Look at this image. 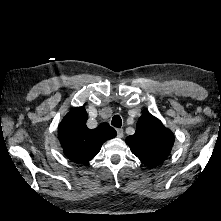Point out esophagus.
<instances>
[{"label":"esophagus","mask_w":221,"mask_h":221,"mask_svg":"<svg viewBox=\"0 0 221 221\" xmlns=\"http://www.w3.org/2000/svg\"><path fill=\"white\" fill-rule=\"evenodd\" d=\"M123 136H124L123 129H121V128L117 129V137L122 138Z\"/></svg>","instance_id":"obj_1"}]
</instances>
